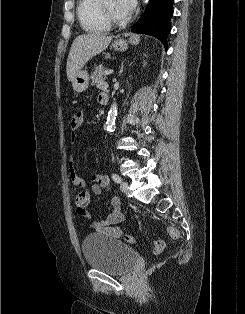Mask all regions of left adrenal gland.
<instances>
[{
    "label": "left adrenal gland",
    "instance_id": "left-adrenal-gland-1",
    "mask_svg": "<svg viewBox=\"0 0 245 314\" xmlns=\"http://www.w3.org/2000/svg\"><path fill=\"white\" fill-rule=\"evenodd\" d=\"M123 68H124V62H122V64H121L120 74L123 73Z\"/></svg>",
    "mask_w": 245,
    "mask_h": 314
}]
</instances>
